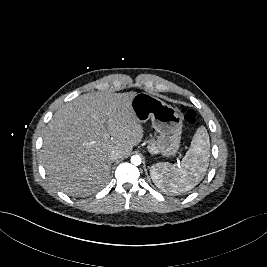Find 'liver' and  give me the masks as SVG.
Segmentation results:
<instances>
[{"instance_id": "6515ba94", "label": "liver", "mask_w": 267, "mask_h": 267, "mask_svg": "<svg viewBox=\"0 0 267 267\" xmlns=\"http://www.w3.org/2000/svg\"><path fill=\"white\" fill-rule=\"evenodd\" d=\"M136 94L88 93L56 111L44 131L41 151L52 184L66 194L81 196L109 182L111 151L127 157L144 135L131 109Z\"/></svg>"}]
</instances>
